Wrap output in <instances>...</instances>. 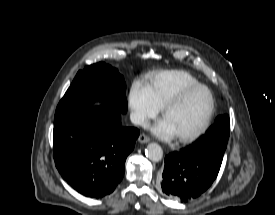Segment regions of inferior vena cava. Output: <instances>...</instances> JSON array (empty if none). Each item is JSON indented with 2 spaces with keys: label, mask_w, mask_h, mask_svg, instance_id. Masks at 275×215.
Here are the masks:
<instances>
[{
  "label": "inferior vena cava",
  "mask_w": 275,
  "mask_h": 215,
  "mask_svg": "<svg viewBox=\"0 0 275 215\" xmlns=\"http://www.w3.org/2000/svg\"><path fill=\"white\" fill-rule=\"evenodd\" d=\"M130 120L133 124H136V125H143L145 122L144 117L137 113H131Z\"/></svg>",
  "instance_id": "inferior-vena-cava-1"
}]
</instances>
